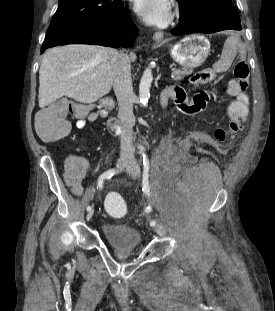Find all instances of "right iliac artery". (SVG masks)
Wrapping results in <instances>:
<instances>
[{
	"mask_svg": "<svg viewBox=\"0 0 275 311\" xmlns=\"http://www.w3.org/2000/svg\"><path fill=\"white\" fill-rule=\"evenodd\" d=\"M118 171L115 169H109L108 171L104 172L98 179L97 182V188L102 189L103 188V183L105 179H110L114 174H116ZM91 210V206L87 207V211Z\"/></svg>",
	"mask_w": 275,
	"mask_h": 311,
	"instance_id": "82829eb1",
	"label": "right iliac artery"
}]
</instances>
